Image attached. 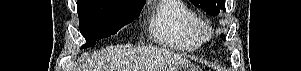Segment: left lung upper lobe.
I'll list each match as a JSON object with an SVG mask.
<instances>
[{"label":"left lung upper lobe","instance_id":"1","mask_svg":"<svg viewBox=\"0 0 301 71\" xmlns=\"http://www.w3.org/2000/svg\"><path fill=\"white\" fill-rule=\"evenodd\" d=\"M196 7H200L207 15L215 16L220 13L221 10L225 11L224 0H190Z\"/></svg>","mask_w":301,"mask_h":71}]
</instances>
